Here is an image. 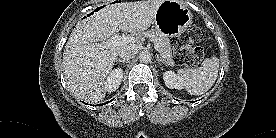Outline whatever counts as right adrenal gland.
Here are the masks:
<instances>
[{
    "instance_id": "right-adrenal-gland-1",
    "label": "right adrenal gland",
    "mask_w": 276,
    "mask_h": 138,
    "mask_svg": "<svg viewBox=\"0 0 276 138\" xmlns=\"http://www.w3.org/2000/svg\"><path fill=\"white\" fill-rule=\"evenodd\" d=\"M116 62H119V63L121 62V63H123V64H124V63H128V61L121 60V59H116Z\"/></svg>"
}]
</instances>
